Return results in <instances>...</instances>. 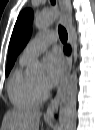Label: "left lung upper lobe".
<instances>
[{"label":"left lung upper lobe","instance_id":"obj_1","mask_svg":"<svg viewBox=\"0 0 95 130\" xmlns=\"http://www.w3.org/2000/svg\"><path fill=\"white\" fill-rule=\"evenodd\" d=\"M32 20L33 11L31 9H25L19 14L10 40L6 75L9 74L17 55L25 47L30 38Z\"/></svg>","mask_w":95,"mask_h":130}]
</instances>
